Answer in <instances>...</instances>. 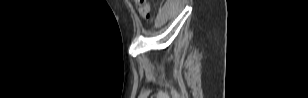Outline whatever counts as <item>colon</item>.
<instances>
[{
    "mask_svg": "<svg viewBox=\"0 0 308 98\" xmlns=\"http://www.w3.org/2000/svg\"><path fill=\"white\" fill-rule=\"evenodd\" d=\"M139 14L145 18L149 19L151 17L152 11L151 6L146 0H135Z\"/></svg>",
    "mask_w": 308,
    "mask_h": 98,
    "instance_id": "colon-1",
    "label": "colon"
}]
</instances>
